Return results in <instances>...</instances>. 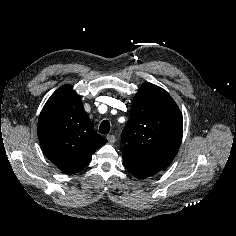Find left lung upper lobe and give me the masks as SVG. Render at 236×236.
Masks as SVG:
<instances>
[{"label": "left lung upper lobe", "mask_w": 236, "mask_h": 236, "mask_svg": "<svg viewBox=\"0 0 236 236\" xmlns=\"http://www.w3.org/2000/svg\"><path fill=\"white\" fill-rule=\"evenodd\" d=\"M183 133L181 112L161 87L143 83L136 94L122 141L133 157L167 167L174 159Z\"/></svg>", "instance_id": "5c2ea615"}]
</instances>
